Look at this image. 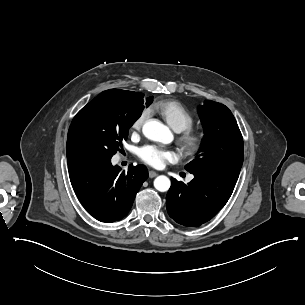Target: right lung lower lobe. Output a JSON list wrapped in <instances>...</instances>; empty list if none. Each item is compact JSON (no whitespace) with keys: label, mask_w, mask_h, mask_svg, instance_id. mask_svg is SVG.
Masks as SVG:
<instances>
[{"label":"right lung lower lobe","mask_w":305,"mask_h":305,"mask_svg":"<svg viewBox=\"0 0 305 305\" xmlns=\"http://www.w3.org/2000/svg\"><path fill=\"white\" fill-rule=\"evenodd\" d=\"M72 187L84 208L101 222H114L126 216L143 182L145 166H131L121 174L118 166L105 164H68Z\"/></svg>","instance_id":"98d812e1"}]
</instances>
